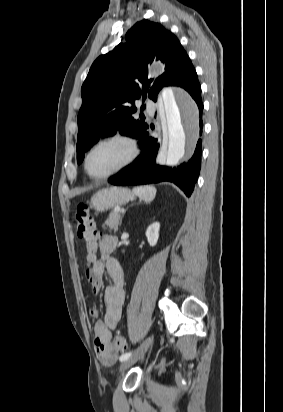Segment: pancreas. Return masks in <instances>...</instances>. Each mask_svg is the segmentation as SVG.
<instances>
[{"mask_svg":"<svg viewBox=\"0 0 283 412\" xmlns=\"http://www.w3.org/2000/svg\"><path fill=\"white\" fill-rule=\"evenodd\" d=\"M121 220L122 218L120 216V213L112 211L109 214L108 219L105 221L103 227L105 228L106 226L109 229L114 230V232H116L118 230V225L121 224Z\"/></svg>","mask_w":283,"mask_h":412,"instance_id":"cf45deb5","label":"pancreas"}]
</instances>
